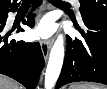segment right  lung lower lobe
I'll list each match as a JSON object with an SVG mask.
<instances>
[{"label":"right lung lower lobe","instance_id":"98d812e1","mask_svg":"<svg viewBox=\"0 0 107 89\" xmlns=\"http://www.w3.org/2000/svg\"><path fill=\"white\" fill-rule=\"evenodd\" d=\"M42 0H35L40 5ZM19 4L0 10V74L7 75L23 84L27 89H34L44 67V58L38 42L10 40L12 31L5 28L8 12L16 11ZM24 24L34 27V16H29ZM24 31L18 28L17 32Z\"/></svg>","mask_w":107,"mask_h":89}]
</instances>
